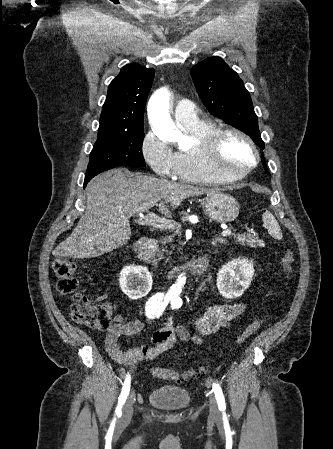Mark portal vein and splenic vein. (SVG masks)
Here are the masks:
<instances>
[{"mask_svg": "<svg viewBox=\"0 0 333 449\" xmlns=\"http://www.w3.org/2000/svg\"><path fill=\"white\" fill-rule=\"evenodd\" d=\"M136 222L140 225H147L160 229L180 228L179 224L173 223L172 221L166 220L165 218H161L152 212L146 216H144L143 214H139V219ZM221 234L224 237L230 236L232 234V231L230 229H227L224 230Z\"/></svg>", "mask_w": 333, "mask_h": 449, "instance_id": "portal-vein-and-splenic-vein-1", "label": "portal vein and splenic vein"}]
</instances>
